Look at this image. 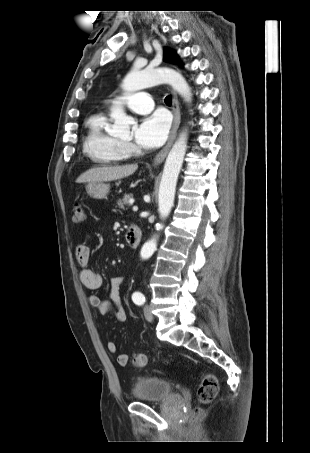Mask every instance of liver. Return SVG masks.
<instances>
[{"label":"liver","mask_w":310,"mask_h":453,"mask_svg":"<svg viewBox=\"0 0 310 453\" xmlns=\"http://www.w3.org/2000/svg\"><path fill=\"white\" fill-rule=\"evenodd\" d=\"M137 168V164L94 167L82 173L76 179V183L114 181L132 175L137 170Z\"/></svg>","instance_id":"obj_1"}]
</instances>
